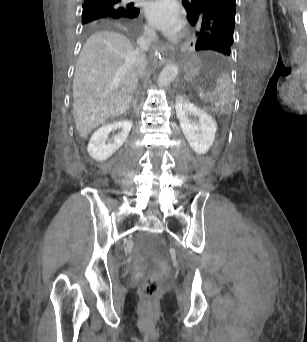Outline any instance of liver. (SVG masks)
Listing matches in <instances>:
<instances>
[{"label":"liver","mask_w":307,"mask_h":342,"mask_svg":"<svg viewBox=\"0 0 307 342\" xmlns=\"http://www.w3.org/2000/svg\"><path fill=\"white\" fill-rule=\"evenodd\" d=\"M133 46L118 32L88 38L73 80V116L81 138L128 110L138 84Z\"/></svg>","instance_id":"liver-1"}]
</instances>
